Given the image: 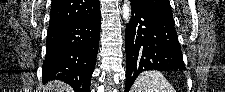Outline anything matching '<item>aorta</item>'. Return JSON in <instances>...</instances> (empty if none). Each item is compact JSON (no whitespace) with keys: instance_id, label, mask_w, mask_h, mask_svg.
I'll list each match as a JSON object with an SVG mask.
<instances>
[{"instance_id":"762f6f07","label":"aorta","mask_w":225,"mask_h":92,"mask_svg":"<svg viewBox=\"0 0 225 92\" xmlns=\"http://www.w3.org/2000/svg\"><path fill=\"white\" fill-rule=\"evenodd\" d=\"M122 13H123V18L125 19L126 22H128L130 19V14H131L129 1H124L122 6Z\"/></svg>"}]
</instances>
